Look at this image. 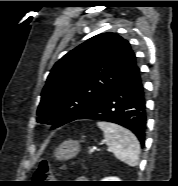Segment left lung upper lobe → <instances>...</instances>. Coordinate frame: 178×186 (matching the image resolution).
I'll use <instances>...</instances> for the list:
<instances>
[{
    "label": "left lung upper lobe",
    "mask_w": 178,
    "mask_h": 186,
    "mask_svg": "<svg viewBox=\"0 0 178 186\" xmlns=\"http://www.w3.org/2000/svg\"><path fill=\"white\" fill-rule=\"evenodd\" d=\"M129 42L114 33L96 35L64 55L41 94L37 121L56 117L53 127L73 121L137 69Z\"/></svg>",
    "instance_id": "left-lung-upper-lobe-1"
}]
</instances>
